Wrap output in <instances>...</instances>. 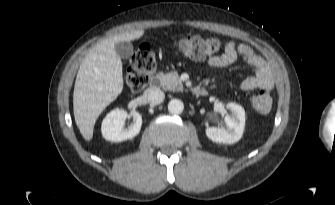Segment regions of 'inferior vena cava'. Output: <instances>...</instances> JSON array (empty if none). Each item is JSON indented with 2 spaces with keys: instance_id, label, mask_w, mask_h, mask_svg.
Listing matches in <instances>:
<instances>
[{
  "instance_id": "602c4592",
  "label": "inferior vena cava",
  "mask_w": 335,
  "mask_h": 205,
  "mask_svg": "<svg viewBox=\"0 0 335 205\" xmlns=\"http://www.w3.org/2000/svg\"><path fill=\"white\" fill-rule=\"evenodd\" d=\"M144 97L151 104L157 105L160 104L164 98V93L158 88H149L144 92Z\"/></svg>"
}]
</instances>
